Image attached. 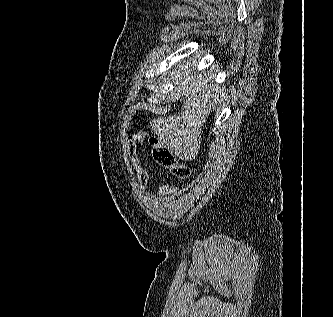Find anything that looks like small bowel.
Instances as JSON below:
<instances>
[{
	"label": "small bowel",
	"instance_id": "1",
	"mask_svg": "<svg viewBox=\"0 0 333 317\" xmlns=\"http://www.w3.org/2000/svg\"><path fill=\"white\" fill-rule=\"evenodd\" d=\"M145 141V134L137 132L130 135L126 140V153L135 170L139 186L142 190L146 189L149 184V173L143 167L139 154L138 146ZM177 192V187L171 183L162 185L156 192V198L161 202H168Z\"/></svg>",
	"mask_w": 333,
	"mask_h": 317
}]
</instances>
